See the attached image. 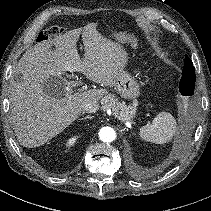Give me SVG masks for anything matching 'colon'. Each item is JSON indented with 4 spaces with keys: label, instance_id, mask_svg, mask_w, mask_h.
Instances as JSON below:
<instances>
[{
    "label": "colon",
    "instance_id": "colon-1",
    "mask_svg": "<svg viewBox=\"0 0 211 211\" xmlns=\"http://www.w3.org/2000/svg\"><path fill=\"white\" fill-rule=\"evenodd\" d=\"M64 32V29L60 26H54L49 29L43 30L38 33L36 42L45 43L52 39L53 37L60 36Z\"/></svg>",
    "mask_w": 211,
    "mask_h": 211
}]
</instances>
